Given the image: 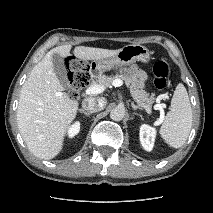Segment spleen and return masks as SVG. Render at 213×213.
I'll use <instances>...</instances> for the list:
<instances>
[{
	"label": "spleen",
	"mask_w": 213,
	"mask_h": 213,
	"mask_svg": "<svg viewBox=\"0 0 213 213\" xmlns=\"http://www.w3.org/2000/svg\"><path fill=\"white\" fill-rule=\"evenodd\" d=\"M192 127V109L186 88L179 83L174 91L170 111L159 130L167 144L180 148L186 142Z\"/></svg>",
	"instance_id": "spleen-1"
}]
</instances>
